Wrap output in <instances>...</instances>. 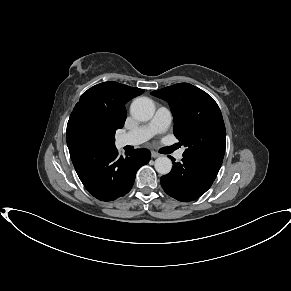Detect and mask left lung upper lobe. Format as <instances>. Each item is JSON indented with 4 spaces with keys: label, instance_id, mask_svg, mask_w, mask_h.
<instances>
[{
    "label": "left lung upper lobe",
    "instance_id": "obj_1",
    "mask_svg": "<svg viewBox=\"0 0 291 291\" xmlns=\"http://www.w3.org/2000/svg\"><path fill=\"white\" fill-rule=\"evenodd\" d=\"M151 94L169 103L174 117V135L187 148L183 157L220 167L226 147V130L214 99L188 83L175 84Z\"/></svg>",
    "mask_w": 291,
    "mask_h": 291
}]
</instances>
